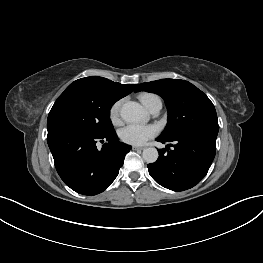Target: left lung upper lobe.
<instances>
[{
    "label": "left lung upper lobe",
    "instance_id": "5c2ea615",
    "mask_svg": "<svg viewBox=\"0 0 263 263\" xmlns=\"http://www.w3.org/2000/svg\"><path fill=\"white\" fill-rule=\"evenodd\" d=\"M156 93L168 109V124L160 138L173 139L185 134H211L219 131L217 114L210 99L185 80L161 79L140 84L135 92Z\"/></svg>",
    "mask_w": 263,
    "mask_h": 263
}]
</instances>
